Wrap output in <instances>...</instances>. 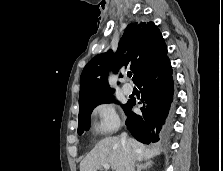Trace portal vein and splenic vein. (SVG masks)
<instances>
[{
  "label": "portal vein and splenic vein",
  "mask_w": 223,
  "mask_h": 171,
  "mask_svg": "<svg viewBox=\"0 0 223 171\" xmlns=\"http://www.w3.org/2000/svg\"><path fill=\"white\" fill-rule=\"evenodd\" d=\"M103 167H104L105 170H109L110 169V165L109 164H104Z\"/></svg>",
  "instance_id": "obj_1"
}]
</instances>
